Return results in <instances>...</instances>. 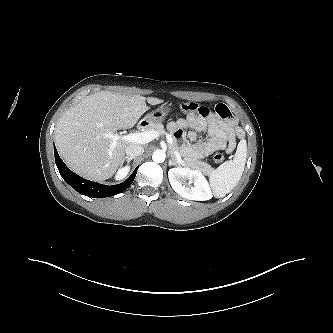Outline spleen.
<instances>
[{
    "label": "spleen",
    "mask_w": 333,
    "mask_h": 333,
    "mask_svg": "<svg viewBox=\"0 0 333 333\" xmlns=\"http://www.w3.org/2000/svg\"><path fill=\"white\" fill-rule=\"evenodd\" d=\"M246 157L247 143L242 139L233 159L224 162L210 174L211 186L217 198L224 197L238 184L244 171Z\"/></svg>",
    "instance_id": "1"
}]
</instances>
